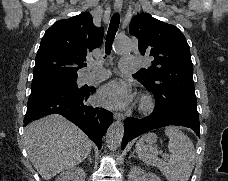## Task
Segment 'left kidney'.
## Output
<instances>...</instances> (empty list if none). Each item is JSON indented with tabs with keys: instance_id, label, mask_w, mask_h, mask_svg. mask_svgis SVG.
Instances as JSON below:
<instances>
[{
	"instance_id": "5707ae66",
	"label": "left kidney",
	"mask_w": 228,
	"mask_h": 181,
	"mask_svg": "<svg viewBox=\"0 0 228 181\" xmlns=\"http://www.w3.org/2000/svg\"><path fill=\"white\" fill-rule=\"evenodd\" d=\"M128 181H161L154 173H145L140 167H131Z\"/></svg>"
}]
</instances>
